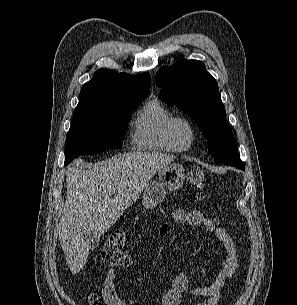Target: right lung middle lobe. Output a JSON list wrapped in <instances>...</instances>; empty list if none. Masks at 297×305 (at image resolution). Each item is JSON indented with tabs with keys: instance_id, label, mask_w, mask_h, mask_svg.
Returning <instances> with one entry per match:
<instances>
[{
	"instance_id": "dd1d6c3e",
	"label": "right lung middle lobe",
	"mask_w": 297,
	"mask_h": 305,
	"mask_svg": "<svg viewBox=\"0 0 297 305\" xmlns=\"http://www.w3.org/2000/svg\"><path fill=\"white\" fill-rule=\"evenodd\" d=\"M143 99H128L105 106L76 107L66 136L65 165L80 154L120 148L127 123L132 117L131 110L137 108Z\"/></svg>"
}]
</instances>
